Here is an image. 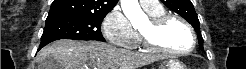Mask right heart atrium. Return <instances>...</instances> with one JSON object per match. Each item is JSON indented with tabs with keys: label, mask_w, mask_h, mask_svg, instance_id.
I'll use <instances>...</instances> for the list:
<instances>
[{
	"label": "right heart atrium",
	"mask_w": 246,
	"mask_h": 69,
	"mask_svg": "<svg viewBox=\"0 0 246 69\" xmlns=\"http://www.w3.org/2000/svg\"><path fill=\"white\" fill-rule=\"evenodd\" d=\"M102 28L107 40L114 45L128 47L136 40V33L121 9L110 11L103 20Z\"/></svg>",
	"instance_id": "1"
}]
</instances>
